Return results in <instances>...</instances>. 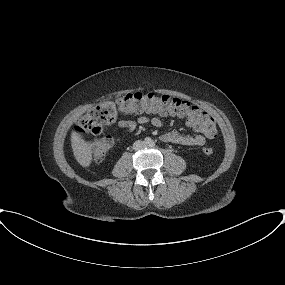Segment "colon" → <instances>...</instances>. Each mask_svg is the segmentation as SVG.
Segmentation results:
<instances>
[{"label": "colon", "mask_w": 285, "mask_h": 285, "mask_svg": "<svg viewBox=\"0 0 285 285\" xmlns=\"http://www.w3.org/2000/svg\"><path fill=\"white\" fill-rule=\"evenodd\" d=\"M152 112L162 115H176L186 118L197 130L205 135L215 138L217 126L214 118L200 108L189 102L155 93L131 92L121 95L116 102H106L95 106L84 114L75 126L76 133L80 135H95L102 129L114 123L117 113ZM112 147V139L107 137L91 144L95 160L102 161ZM204 154L211 155L213 149L205 147Z\"/></svg>", "instance_id": "colon-1"}]
</instances>
